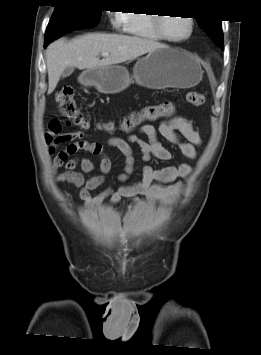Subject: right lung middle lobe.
Returning a JSON list of instances; mask_svg holds the SVG:
<instances>
[{
  "label": "right lung middle lobe",
  "instance_id": "obj_1",
  "mask_svg": "<svg viewBox=\"0 0 261 355\" xmlns=\"http://www.w3.org/2000/svg\"><path fill=\"white\" fill-rule=\"evenodd\" d=\"M89 0H70L56 5L47 26L45 37L66 29L95 27L101 18V11L92 7Z\"/></svg>",
  "mask_w": 261,
  "mask_h": 355
}]
</instances>
